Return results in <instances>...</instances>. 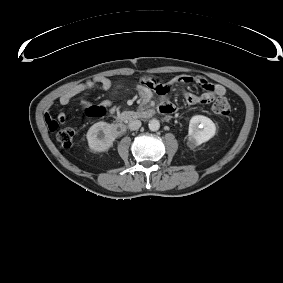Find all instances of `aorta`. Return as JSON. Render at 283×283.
<instances>
[{
	"label": "aorta",
	"instance_id": "obj_1",
	"mask_svg": "<svg viewBox=\"0 0 283 283\" xmlns=\"http://www.w3.org/2000/svg\"><path fill=\"white\" fill-rule=\"evenodd\" d=\"M148 126L151 131H157L160 128V123L157 119H152L149 121Z\"/></svg>",
	"mask_w": 283,
	"mask_h": 283
}]
</instances>
